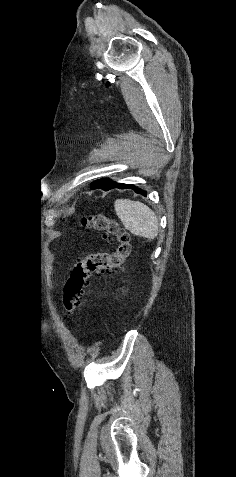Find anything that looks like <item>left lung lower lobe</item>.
Segmentation results:
<instances>
[{
	"instance_id": "left-lung-lower-lobe-1",
	"label": "left lung lower lobe",
	"mask_w": 236,
	"mask_h": 477,
	"mask_svg": "<svg viewBox=\"0 0 236 477\" xmlns=\"http://www.w3.org/2000/svg\"><path fill=\"white\" fill-rule=\"evenodd\" d=\"M118 188V189H132L134 190L137 194H141L143 196H146V192L142 190L141 188L132 185V184H124V183H118L115 186H113L111 189Z\"/></svg>"
}]
</instances>
